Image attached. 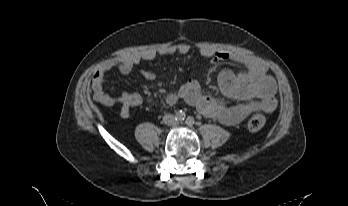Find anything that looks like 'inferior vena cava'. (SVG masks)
I'll use <instances>...</instances> for the list:
<instances>
[{
    "label": "inferior vena cava",
    "mask_w": 348,
    "mask_h": 206,
    "mask_svg": "<svg viewBox=\"0 0 348 206\" xmlns=\"http://www.w3.org/2000/svg\"><path fill=\"white\" fill-rule=\"evenodd\" d=\"M165 123H169L166 119L164 120Z\"/></svg>",
    "instance_id": "obj_1"
}]
</instances>
